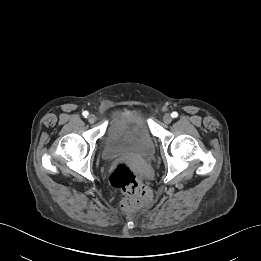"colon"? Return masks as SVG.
Segmentation results:
<instances>
[{"label": "colon", "instance_id": "5ec220e1", "mask_svg": "<svg viewBox=\"0 0 261 261\" xmlns=\"http://www.w3.org/2000/svg\"><path fill=\"white\" fill-rule=\"evenodd\" d=\"M110 184L123 195L122 207L137 209L151 200V192L142 178L127 164H118L110 174Z\"/></svg>", "mask_w": 261, "mask_h": 261}]
</instances>
